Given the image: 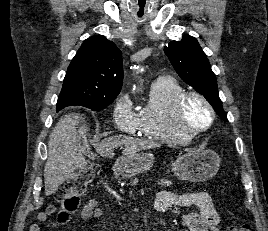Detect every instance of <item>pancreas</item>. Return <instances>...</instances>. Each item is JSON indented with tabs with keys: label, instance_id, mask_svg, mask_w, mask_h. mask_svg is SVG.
Masks as SVG:
<instances>
[{
	"label": "pancreas",
	"instance_id": "cf45deb5",
	"mask_svg": "<svg viewBox=\"0 0 268 231\" xmlns=\"http://www.w3.org/2000/svg\"><path fill=\"white\" fill-rule=\"evenodd\" d=\"M137 182H138V180L134 179L133 181H131L130 185L135 186L137 184ZM158 184L163 185V186H170L172 184V182L170 180L163 178L158 182Z\"/></svg>",
	"mask_w": 268,
	"mask_h": 231
}]
</instances>
